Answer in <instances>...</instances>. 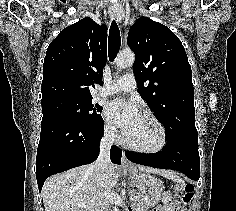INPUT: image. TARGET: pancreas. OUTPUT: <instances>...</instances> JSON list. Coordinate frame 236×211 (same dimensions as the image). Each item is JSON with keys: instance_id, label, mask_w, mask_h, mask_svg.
<instances>
[{"instance_id": "obj_1", "label": "pancreas", "mask_w": 236, "mask_h": 211, "mask_svg": "<svg viewBox=\"0 0 236 211\" xmlns=\"http://www.w3.org/2000/svg\"><path fill=\"white\" fill-rule=\"evenodd\" d=\"M131 197L133 198L132 207L135 211H146V206L143 204L139 192H132Z\"/></svg>"}]
</instances>
